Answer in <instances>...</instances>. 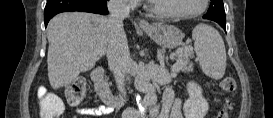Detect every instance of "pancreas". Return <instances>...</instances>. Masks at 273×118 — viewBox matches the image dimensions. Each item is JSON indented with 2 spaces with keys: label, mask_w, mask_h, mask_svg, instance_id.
Masks as SVG:
<instances>
[{
  "label": "pancreas",
  "mask_w": 273,
  "mask_h": 118,
  "mask_svg": "<svg viewBox=\"0 0 273 118\" xmlns=\"http://www.w3.org/2000/svg\"><path fill=\"white\" fill-rule=\"evenodd\" d=\"M193 49L190 46H185L178 54L177 63L172 67L173 74L175 72H190L193 67L190 64V57H192Z\"/></svg>",
  "instance_id": "pancreas-1"
}]
</instances>
